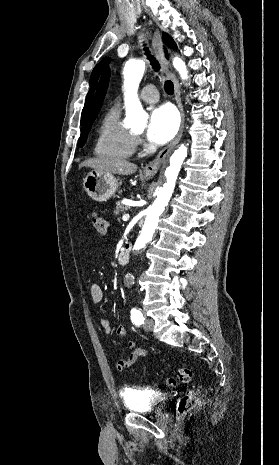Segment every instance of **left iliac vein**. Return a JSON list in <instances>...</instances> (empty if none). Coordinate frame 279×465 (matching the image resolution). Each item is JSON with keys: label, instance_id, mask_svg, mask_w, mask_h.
I'll return each instance as SVG.
<instances>
[{"label": "left iliac vein", "instance_id": "4c4485c4", "mask_svg": "<svg viewBox=\"0 0 279 465\" xmlns=\"http://www.w3.org/2000/svg\"><path fill=\"white\" fill-rule=\"evenodd\" d=\"M143 328L145 331L147 332H152L153 329H154V321L152 319H146L144 324H143Z\"/></svg>", "mask_w": 279, "mask_h": 465}]
</instances>
